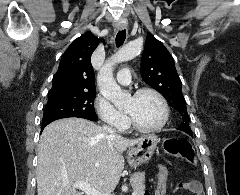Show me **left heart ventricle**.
I'll list each match as a JSON object with an SVG mask.
<instances>
[{
	"mask_svg": "<svg viewBox=\"0 0 240 195\" xmlns=\"http://www.w3.org/2000/svg\"><path fill=\"white\" fill-rule=\"evenodd\" d=\"M123 112L128 113L142 127L156 125L162 116L159 100L150 93H145L136 98L129 97L125 101Z\"/></svg>",
	"mask_w": 240,
	"mask_h": 195,
	"instance_id": "1",
	"label": "left heart ventricle"
}]
</instances>
